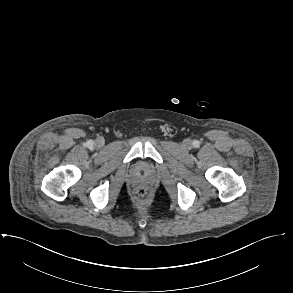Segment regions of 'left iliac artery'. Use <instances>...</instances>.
<instances>
[{
	"instance_id": "left-iliac-artery-1",
	"label": "left iliac artery",
	"mask_w": 293,
	"mask_h": 293,
	"mask_svg": "<svg viewBox=\"0 0 293 293\" xmlns=\"http://www.w3.org/2000/svg\"><path fill=\"white\" fill-rule=\"evenodd\" d=\"M193 146L194 147H198L199 146V142L197 140L193 141Z\"/></svg>"
}]
</instances>
